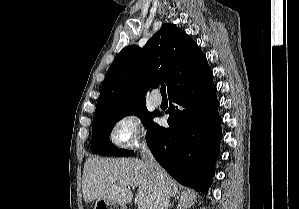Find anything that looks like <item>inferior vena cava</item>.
I'll use <instances>...</instances> for the list:
<instances>
[{"instance_id":"602c4592","label":"inferior vena cava","mask_w":299,"mask_h":209,"mask_svg":"<svg viewBox=\"0 0 299 209\" xmlns=\"http://www.w3.org/2000/svg\"><path fill=\"white\" fill-rule=\"evenodd\" d=\"M142 160L148 165L152 175L155 177L156 186L158 189L157 197L155 199L153 209H168L169 206V192L166 188L164 179V170L154 159L150 149L144 142L142 144Z\"/></svg>"}]
</instances>
